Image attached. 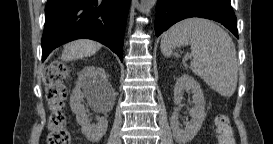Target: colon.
<instances>
[{
    "mask_svg": "<svg viewBox=\"0 0 273 144\" xmlns=\"http://www.w3.org/2000/svg\"><path fill=\"white\" fill-rule=\"evenodd\" d=\"M66 76V67L61 63L51 64L44 74L46 97L52 112L49 120L48 144H68L71 142V135L66 129V120L62 112L67 97ZM215 127L219 144H234L233 129L226 114H220L216 117Z\"/></svg>",
    "mask_w": 273,
    "mask_h": 144,
    "instance_id": "colon-1",
    "label": "colon"
}]
</instances>
